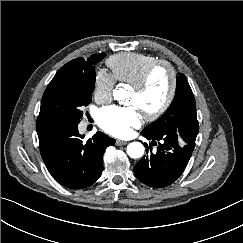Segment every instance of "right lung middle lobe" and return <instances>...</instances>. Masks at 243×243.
<instances>
[{"mask_svg":"<svg viewBox=\"0 0 243 243\" xmlns=\"http://www.w3.org/2000/svg\"><path fill=\"white\" fill-rule=\"evenodd\" d=\"M105 55H95L93 64ZM95 79L94 66L86 73L57 72L43 94L37 121L79 123L83 117L82 107L91 102Z\"/></svg>","mask_w":243,"mask_h":243,"instance_id":"obj_1","label":"right lung middle lobe"}]
</instances>
